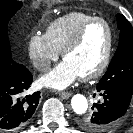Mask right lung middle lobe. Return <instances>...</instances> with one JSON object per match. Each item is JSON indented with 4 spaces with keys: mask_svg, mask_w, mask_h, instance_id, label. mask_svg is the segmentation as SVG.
I'll use <instances>...</instances> for the list:
<instances>
[{
    "mask_svg": "<svg viewBox=\"0 0 133 133\" xmlns=\"http://www.w3.org/2000/svg\"><path fill=\"white\" fill-rule=\"evenodd\" d=\"M21 7L22 2L20 1L0 0V64H10L13 61L7 24Z\"/></svg>",
    "mask_w": 133,
    "mask_h": 133,
    "instance_id": "right-lung-middle-lobe-1",
    "label": "right lung middle lobe"
}]
</instances>
